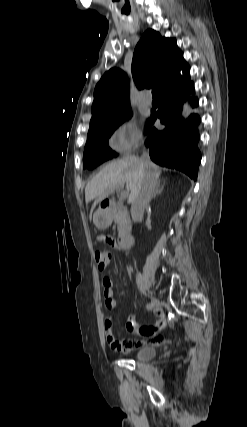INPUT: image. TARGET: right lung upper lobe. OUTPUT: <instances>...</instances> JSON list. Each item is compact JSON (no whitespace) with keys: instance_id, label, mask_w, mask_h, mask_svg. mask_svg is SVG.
Masks as SVG:
<instances>
[{"instance_id":"1","label":"right lung upper lobe","mask_w":247,"mask_h":427,"mask_svg":"<svg viewBox=\"0 0 247 427\" xmlns=\"http://www.w3.org/2000/svg\"><path fill=\"white\" fill-rule=\"evenodd\" d=\"M187 70L182 52L175 39L162 38L151 29L138 42L132 61L133 79L139 89L157 88L160 93L176 77L180 70ZM126 75L119 69L107 71L94 90L90 129L116 118L130 108Z\"/></svg>"}]
</instances>
